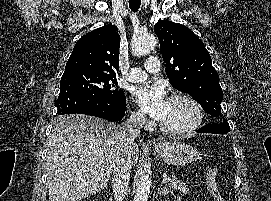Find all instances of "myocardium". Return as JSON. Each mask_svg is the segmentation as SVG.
I'll list each match as a JSON object with an SVG mask.
<instances>
[{
	"mask_svg": "<svg viewBox=\"0 0 271 201\" xmlns=\"http://www.w3.org/2000/svg\"><path fill=\"white\" fill-rule=\"evenodd\" d=\"M169 100H180L185 102L192 109L194 118L188 126L180 129H171L164 126L162 123H159V129L161 132L171 136H184L194 132L202 125L204 121V112L201 105L195 98L187 93L177 91L170 95Z\"/></svg>",
	"mask_w": 271,
	"mask_h": 201,
	"instance_id": "myocardium-1",
	"label": "myocardium"
}]
</instances>
